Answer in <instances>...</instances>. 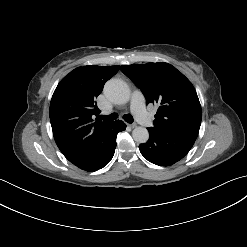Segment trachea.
Wrapping results in <instances>:
<instances>
[{"mask_svg":"<svg viewBox=\"0 0 247 247\" xmlns=\"http://www.w3.org/2000/svg\"><path fill=\"white\" fill-rule=\"evenodd\" d=\"M98 118L101 120L113 121L118 118V114L112 113L110 115H99ZM123 118L127 123H133L134 121L133 117L130 114H125Z\"/></svg>","mask_w":247,"mask_h":247,"instance_id":"obj_1","label":"trachea"}]
</instances>
